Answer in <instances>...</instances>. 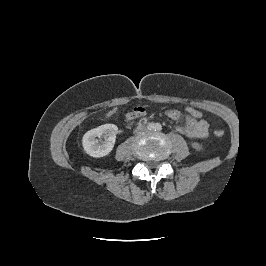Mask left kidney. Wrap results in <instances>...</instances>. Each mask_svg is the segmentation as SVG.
I'll return each mask as SVG.
<instances>
[{
  "instance_id": "1",
  "label": "left kidney",
  "mask_w": 266,
  "mask_h": 266,
  "mask_svg": "<svg viewBox=\"0 0 266 266\" xmlns=\"http://www.w3.org/2000/svg\"><path fill=\"white\" fill-rule=\"evenodd\" d=\"M192 147L194 149H196L197 151H200L203 149L202 145H200L199 143H196V142L192 143Z\"/></svg>"
}]
</instances>
